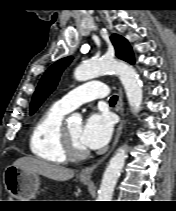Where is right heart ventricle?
I'll use <instances>...</instances> for the list:
<instances>
[{
	"label": "right heart ventricle",
	"mask_w": 176,
	"mask_h": 211,
	"mask_svg": "<svg viewBox=\"0 0 176 211\" xmlns=\"http://www.w3.org/2000/svg\"><path fill=\"white\" fill-rule=\"evenodd\" d=\"M67 112L58 103H54L39 116L29 138V147L35 157L56 164L68 161L60 135Z\"/></svg>",
	"instance_id": "1"
}]
</instances>
